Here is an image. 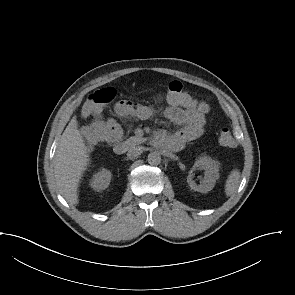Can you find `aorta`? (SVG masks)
Listing matches in <instances>:
<instances>
[{
	"label": "aorta",
	"instance_id": "1",
	"mask_svg": "<svg viewBox=\"0 0 295 295\" xmlns=\"http://www.w3.org/2000/svg\"><path fill=\"white\" fill-rule=\"evenodd\" d=\"M147 161L151 165H158L161 163V155L159 152H151L148 154Z\"/></svg>",
	"mask_w": 295,
	"mask_h": 295
}]
</instances>
